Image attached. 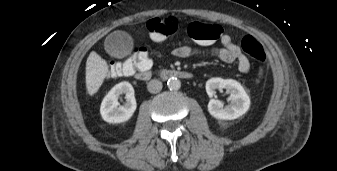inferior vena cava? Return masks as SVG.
Wrapping results in <instances>:
<instances>
[{"label":"inferior vena cava","mask_w":337,"mask_h":171,"mask_svg":"<svg viewBox=\"0 0 337 171\" xmlns=\"http://www.w3.org/2000/svg\"><path fill=\"white\" fill-rule=\"evenodd\" d=\"M162 87V82L157 79L151 80L147 85L148 91L150 93H158L161 91Z\"/></svg>","instance_id":"obj_1"}]
</instances>
